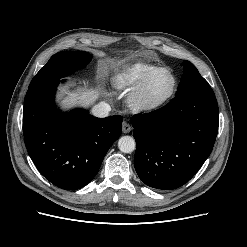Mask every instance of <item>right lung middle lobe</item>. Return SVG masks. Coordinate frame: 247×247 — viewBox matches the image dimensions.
I'll return each mask as SVG.
<instances>
[{
	"label": "right lung middle lobe",
	"mask_w": 247,
	"mask_h": 247,
	"mask_svg": "<svg viewBox=\"0 0 247 247\" xmlns=\"http://www.w3.org/2000/svg\"><path fill=\"white\" fill-rule=\"evenodd\" d=\"M92 59L83 51H64L53 55L32 79L29 87L66 77L74 71L85 67Z\"/></svg>",
	"instance_id": "dd1d6c3e"
}]
</instances>
